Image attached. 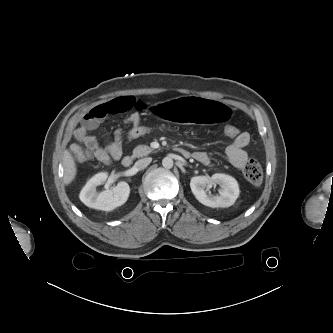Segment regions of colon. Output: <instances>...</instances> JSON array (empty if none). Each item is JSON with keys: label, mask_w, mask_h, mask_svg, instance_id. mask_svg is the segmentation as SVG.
<instances>
[{"label": "colon", "mask_w": 333, "mask_h": 333, "mask_svg": "<svg viewBox=\"0 0 333 333\" xmlns=\"http://www.w3.org/2000/svg\"><path fill=\"white\" fill-rule=\"evenodd\" d=\"M166 127H162L159 123H143L141 121L129 124L128 129L122 131L124 138L129 140H139L155 134H161L166 131ZM225 135L228 138L235 139L240 134L239 129L234 125H227L225 127ZM74 158L79 162H86L90 160V156L81 149H73ZM243 173L247 181L258 186L263 179V171L260 163L253 158L247 160L243 167Z\"/></svg>", "instance_id": "5ec220e1"}]
</instances>
